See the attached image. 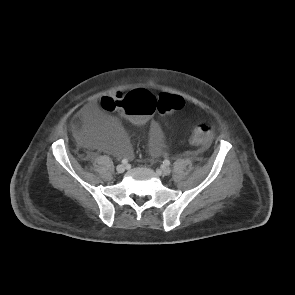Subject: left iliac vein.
Wrapping results in <instances>:
<instances>
[{
  "label": "left iliac vein",
  "mask_w": 295,
  "mask_h": 295,
  "mask_svg": "<svg viewBox=\"0 0 295 295\" xmlns=\"http://www.w3.org/2000/svg\"><path fill=\"white\" fill-rule=\"evenodd\" d=\"M171 173V168L170 167H163L161 169V174L163 175H169Z\"/></svg>",
  "instance_id": "4c4485c4"
}]
</instances>
